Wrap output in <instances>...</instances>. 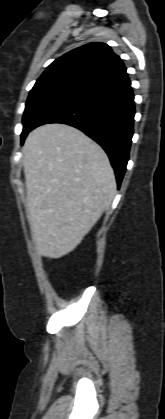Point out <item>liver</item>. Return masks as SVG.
Masks as SVG:
<instances>
[{
	"mask_svg": "<svg viewBox=\"0 0 165 419\" xmlns=\"http://www.w3.org/2000/svg\"><path fill=\"white\" fill-rule=\"evenodd\" d=\"M22 152L32 239L40 256L60 258L110 207L114 171L97 143L65 124L34 129Z\"/></svg>",
	"mask_w": 165,
	"mask_h": 419,
	"instance_id": "liver-1",
	"label": "liver"
}]
</instances>
